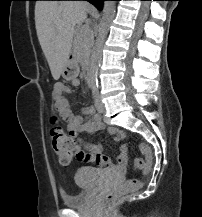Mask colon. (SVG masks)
Here are the masks:
<instances>
[{
	"instance_id": "obj_1",
	"label": "colon",
	"mask_w": 202,
	"mask_h": 217,
	"mask_svg": "<svg viewBox=\"0 0 202 217\" xmlns=\"http://www.w3.org/2000/svg\"><path fill=\"white\" fill-rule=\"evenodd\" d=\"M53 126L50 129V143L54 155L58 158L59 163L68 167L73 159L81 160L84 156V151L79 149L73 137L65 133L63 128L56 124V118H52ZM140 149L145 156V161L141 158H135L133 160L134 168L142 171L143 177L147 178L150 176L153 165V152L152 149L142 143ZM142 185V180L140 179H129L122 185H120L113 192L108 193L103 199V203L106 206L113 205L119 197L127 191H135L139 189Z\"/></svg>"
}]
</instances>
